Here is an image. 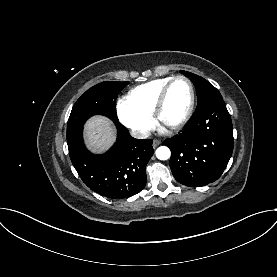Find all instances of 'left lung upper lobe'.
<instances>
[{
  "mask_svg": "<svg viewBox=\"0 0 277 277\" xmlns=\"http://www.w3.org/2000/svg\"><path fill=\"white\" fill-rule=\"evenodd\" d=\"M180 72L188 77L196 86L198 98L197 108L203 106L205 103L214 98L222 97L220 92L204 78L187 71Z\"/></svg>",
  "mask_w": 277,
  "mask_h": 277,
  "instance_id": "1",
  "label": "left lung upper lobe"
}]
</instances>
